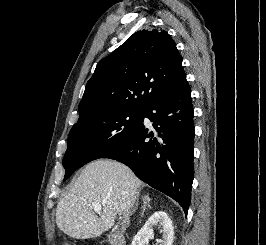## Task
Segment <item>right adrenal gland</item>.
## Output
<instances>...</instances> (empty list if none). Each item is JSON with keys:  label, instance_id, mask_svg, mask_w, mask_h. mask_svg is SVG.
Listing matches in <instances>:
<instances>
[{"label": "right adrenal gland", "instance_id": "right-adrenal-gland-1", "mask_svg": "<svg viewBox=\"0 0 266 245\" xmlns=\"http://www.w3.org/2000/svg\"><path fill=\"white\" fill-rule=\"evenodd\" d=\"M150 201H151V199H149L148 195H146V197H142V203H143V207H142V209H143V211H142V217H143V215H144V213H145V209H146L148 203H150Z\"/></svg>", "mask_w": 266, "mask_h": 245}]
</instances>
